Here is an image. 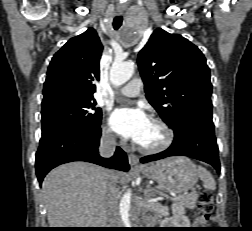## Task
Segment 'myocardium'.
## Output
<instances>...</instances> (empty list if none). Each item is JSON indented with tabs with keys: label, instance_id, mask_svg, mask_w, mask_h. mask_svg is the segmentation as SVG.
<instances>
[{
	"label": "myocardium",
	"instance_id": "1",
	"mask_svg": "<svg viewBox=\"0 0 252 231\" xmlns=\"http://www.w3.org/2000/svg\"><path fill=\"white\" fill-rule=\"evenodd\" d=\"M151 121L157 124L162 129L164 133V140L159 145L153 147H147L137 143V149L147 154L163 152L168 149L174 141V131L163 119L154 117L151 119Z\"/></svg>",
	"mask_w": 252,
	"mask_h": 231
}]
</instances>
